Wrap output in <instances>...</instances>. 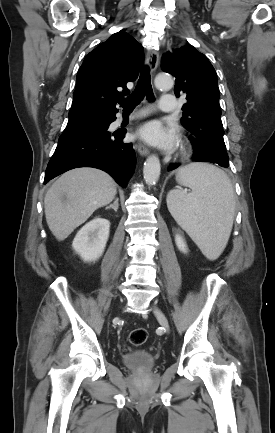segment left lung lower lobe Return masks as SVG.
<instances>
[{"label":"left lung lower lobe","mask_w":275,"mask_h":433,"mask_svg":"<svg viewBox=\"0 0 275 433\" xmlns=\"http://www.w3.org/2000/svg\"><path fill=\"white\" fill-rule=\"evenodd\" d=\"M178 166H179V164L171 165V166L169 167V170H173V169L177 168ZM228 166H229V164H223L222 167H228Z\"/></svg>","instance_id":"obj_1"}]
</instances>
